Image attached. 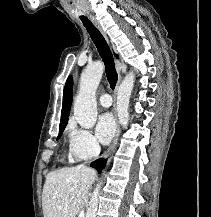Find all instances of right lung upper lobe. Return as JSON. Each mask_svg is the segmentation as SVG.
<instances>
[{
    "label": "right lung upper lobe",
    "instance_id": "1",
    "mask_svg": "<svg viewBox=\"0 0 211 217\" xmlns=\"http://www.w3.org/2000/svg\"><path fill=\"white\" fill-rule=\"evenodd\" d=\"M72 96H73V80L72 77L69 76L66 81L64 92H63V105H62L61 122H60L59 129L66 127L68 116L70 113V107L72 103Z\"/></svg>",
    "mask_w": 211,
    "mask_h": 217
}]
</instances>
